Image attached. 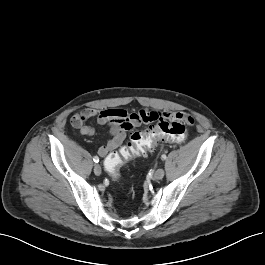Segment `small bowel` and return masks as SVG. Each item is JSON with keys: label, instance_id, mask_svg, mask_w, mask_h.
<instances>
[{"label": "small bowel", "instance_id": "1", "mask_svg": "<svg viewBox=\"0 0 265 265\" xmlns=\"http://www.w3.org/2000/svg\"><path fill=\"white\" fill-rule=\"evenodd\" d=\"M153 113L139 111L128 113L122 109H91L85 108L74 114L71 118L73 127L79 129L83 136H93L95 129L86 125L89 118H95L100 125H108L111 138L98 148V155L106 157L123 143L127 134L143 123H150ZM167 117L188 120L190 116L184 113H167Z\"/></svg>", "mask_w": 265, "mask_h": 265}]
</instances>
